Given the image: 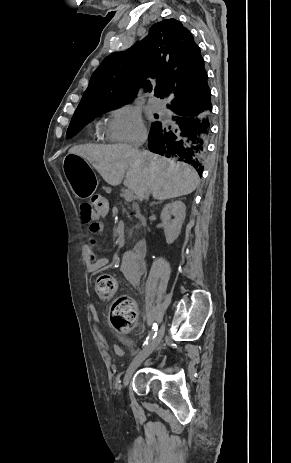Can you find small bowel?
Instances as JSON below:
<instances>
[{"mask_svg": "<svg viewBox=\"0 0 291 463\" xmlns=\"http://www.w3.org/2000/svg\"><path fill=\"white\" fill-rule=\"evenodd\" d=\"M103 218L105 217L92 216L91 221L89 222V234L91 236L81 245L83 263L89 272L100 271L109 264V260L107 258L97 256L94 251V236L103 231L104 226L101 222ZM145 267L144 257L139 256L136 254L134 249H132L123 254L119 273L134 287L140 288L142 286V274L145 271ZM121 353L120 348L115 349V354L117 356H120Z\"/></svg>", "mask_w": 291, "mask_h": 463, "instance_id": "c3829d8e", "label": "small bowel"}]
</instances>
